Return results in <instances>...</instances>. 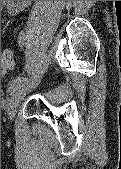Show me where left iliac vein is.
I'll list each match as a JSON object with an SVG mask.
<instances>
[{
  "label": "left iliac vein",
  "mask_w": 121,
  "mask_h": 169,
  "mask_svg": "<svg viewBox=\"0 0 121 169\" xmlns=\"http://www.w3.org/2000/svg\"><path fill=\"white\" fill-rule=\"evenodd\" d=\"M35 87H36V83L32 81V82H27L26 84L22 85L21 87L17 88L14 91L11 100V105L8 111V115L11 120L14 119L23 98L26 96L28 92H30Z\"/></svg>",
  "instance_id": "4c4485c4"
}]
</instances>
